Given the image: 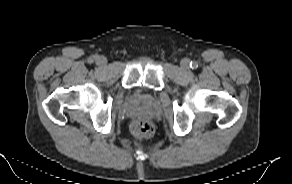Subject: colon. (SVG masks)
I'll use <instances>...</instances> for the list:
<instances>
[{"label":"colon","instance_id":"1","mask_svg":"<svg viewBox=\"0 0 292 184\" xmlns=\"http://www.w3.org/2000/svg\"><path fill=\"white\" fill-rule=\"evenodd\" d=\"M130 129L132 134L138 138H147L154 134L153 125L145 120H134L131 123Z\"/></svg>","mask_w":292,"mask_h":184}]
</instances>
